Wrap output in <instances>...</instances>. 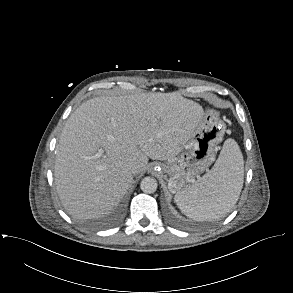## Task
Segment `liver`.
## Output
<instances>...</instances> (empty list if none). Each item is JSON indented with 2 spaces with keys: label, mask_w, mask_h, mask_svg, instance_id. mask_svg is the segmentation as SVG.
I'll use <instances>...</instances> for the list:
<instances>
[{
  "label": "liver",
  "mask_w": 293,
  "mask_h": 293,
  "mask_svg": "<svg viewBox=\"0 0 293 293\" xmlns=\"http://www.w3.org/2000/svg\"><path fill=\"white\" fill-rule=\"evenodd\" d=\"M202 106L178 92L92 98L68 118L56 147L55 185L78 220L109 214L133 181L127 165L175 157L202 120Z\"/></svg>",
  "instance_id": "obj_1"
}]
</instances>
